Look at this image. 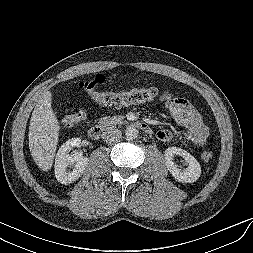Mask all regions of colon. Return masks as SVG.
<instances>
[{"label": "colon", "instance_id": "5ec220e1", "mask_svg": "<svg viewBox=\"0 0 253 253\" xmlns=\"http://www.w3.org/2000/svg\"><path fill=\"white\" fill-rule=\"evenodd\" d=\"M104 82L103 76H98L92 81L82 84V87L89 91L91 99L101 105L108 107H120L129 104L152 101L158 96L156 87L133 88L123 92H111L99 90V86ZM85 115L83 110L69 113L62 118L63 125L70 127L79 123ZM213 157L212 151H205L202 154L204 161H209Z\"/></svg>", "mask_w": 253, "mask_h": 253}]
</instances>
